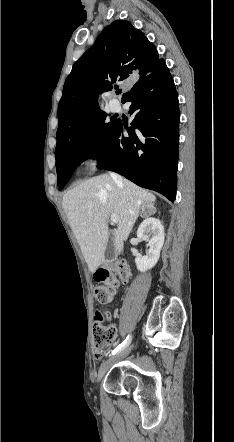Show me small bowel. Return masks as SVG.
I'll list each match as a JSON object with an SVG mask.
<instances>
[{"label":"small bowel","mask_w":234,"mask_h":442,"mask_svg":"<svg viewBox=\"0 0 234 442\" xmlns=\"http://www.w3.org/2000/svg\"><path fill=\"white\" fill-rule=\"evenodd\" d=\"M105 320H106V321H109V320H110V317H109V316H106V317H105ZM96 325H97V327L102 328V327H104L105 322H104V320L99 319V320H97Z\"/></svg>","instance_id":"c3829d8e"}]
</instances>
